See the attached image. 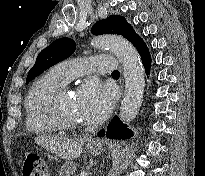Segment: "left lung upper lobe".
I'll use <instances>...</instances> for the list:
<instances>
[{
  "label": "left lung upper lobe",
  "mask_w": 205,
  "mask_h": 176,
  "mask_svg": "<svg viewBox=\"0 0 205 176\" xmlns=\"http://www.w3.org/2000/svg\"><path fill=\"white\" fill-rule=\"evenodd\" d=\"M133 31L131 25L122 16L110 15L107 19L96 22L91 28L94 35L118 34L128 39ZM75 42L70 38H61L52 42L37 56L34 66L30 69L26 82H29L51 66L69 57L75 51Z\"/></svg>",
  "instance_id": "obj_1"
}]
</instances>
